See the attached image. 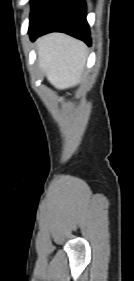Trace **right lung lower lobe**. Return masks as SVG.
I'll return each mask as SVG.
<instances>
[{
    "label": "right lung lower lobe",
    "instance_id": "obj_1",
    "mask_svg": "<svg viewBox=\"0 0 134 281\" xmlns=\"http://www.w3.org/2000/svg\"><path fill=\"white\" fill-rule=\"evenodd\" d=\"M49 32L67 33L91 45L84 0H38L30 14L31 40Z\"/></svg>",
    "mask_w": 134,
    "mask_h": 281
}]
</instances>
